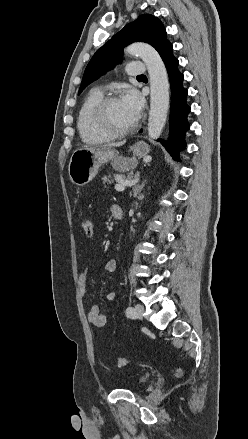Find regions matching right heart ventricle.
I'll return each instance as SVG.
<instances>
[{
  "label": "right heart ventricle",
  "instance_id": "obj_1",
  "mask_svg": "<svg viewBox=\"0 0 248 439\" xmlns=\"http://www.w3.org/2000/svg\"><path fill=\"white\" fill-rule=\"evenodd\" d=\"M102 98L103 93L101 90H91L78 112L77 129L81 140L87 145H99L114 139L113 136L101 131L93 121V110Z\"/></svg>",
  "mask_w": 248,
  "mask_h": 439
}]
</instances>
